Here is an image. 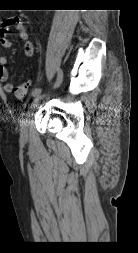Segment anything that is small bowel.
<instances>
[{"label": "small bowel", "instance_id": "small-bowel-1", "mask_svg": "<svg viewBox=\"0 0 138 253\" xmlns=\"http://www.w3.org/2000/svg\"><path fill=\"white\" fill-rule=\"evenodd\" d=\"M14 26L22 41L23 50L26 57L31 58L35 53V47L32 40L29 37L27 26L20 18H8L0 25V46L3 48H10L12 41L9 36V27ZM9 79V72L7 69V59L0 54V81L4 82V91L6 93H12L14 90V84Z\"/></svg>", "mask_w": 138, "mask_h": 253}]
</instances>
